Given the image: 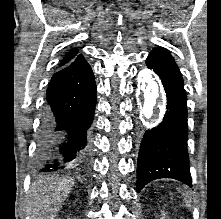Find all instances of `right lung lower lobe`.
Instances as JSON below:
<instances>
[{
	"mask_svg": "<svg viewBox=\"0 0 221 219\" xmlns=\"http://www.w3.org/2000/svg\"><path fill=\"white\" fill-rule=\"evenodd\" d=\"M96 91L93 72L82 55L53 75L38 136L39 172L58 171L88 157Z\"/></svg>",
	"mask_w": 221,
	"mask_h": 219,
	"instance_id": "98d812e1",
	"label": "right lung lower lobe"
}]
</instances>
